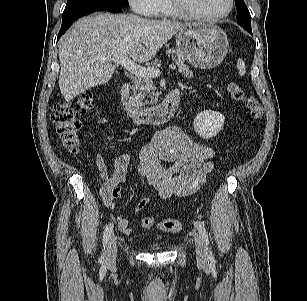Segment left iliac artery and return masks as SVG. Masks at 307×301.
Wrapping results in <instances>:
<instances>
[{"instance_id": "left-iliac-artery-1", "label": "left iliac artery", "mask_w": 307, "mask_h": 301, "mask_svg": "<svg viewBox=\"0 0 307 301\" xmlns=\"http://www.w3.org/2000/svg\"><path fill=\"white\" fill-rule=\"evenodd\" d=\"M194 225L197 228L199 234L202 236V238L205 241V244H206V247H207V250H208V259H209L208 263L210 262L211 264H215V258L213 256V253H212L210 247H209V238H208V233H207L205 227L200 222H195Z\"/></svg>"}]
</instances>
